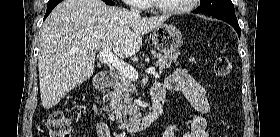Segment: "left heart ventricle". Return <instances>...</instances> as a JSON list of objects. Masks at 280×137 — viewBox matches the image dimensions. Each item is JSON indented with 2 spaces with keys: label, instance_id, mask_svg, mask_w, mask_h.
Segmentation results:
<instances>
[{
  "label": "left heart ventricle",
  "instance_id": "left-heart-ventricle-1",
  "mask_svg": "<svg viewBox=\"0 0 280 137\" xmlns=\"http://www.w3.org/2000/svg\"><path fill=\"white\" fill-rule=\"evenodd\" d=\"M162 6L174 8L185 4V0H157Z\"/></svg>",
  "mask_w": 280,
  "mask_h": 137
}]
</instances>
